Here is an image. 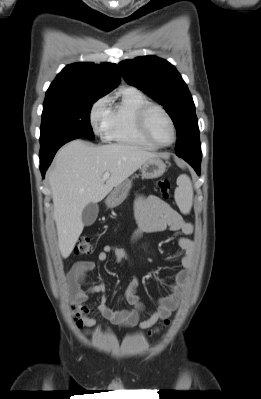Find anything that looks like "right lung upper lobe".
I'll return each instance as SVG.
<instances>
[{
	"instance_id": "obj_1",
	"label": "right lung upper lobe",
	"mask_w": 261,
	"mask_h": 399,
	"mask_svg": "<svg viewBox=\"0 0 261 399\" xmlns=\"http://www.w3.org/2000/svg\"><path fill=\"white\" fill-rule=\"evenodd\" d=\"M120 82L117 65L80 62L66 66L51 83L46 97H102Z\"/></svg>"
}]
</instances>
